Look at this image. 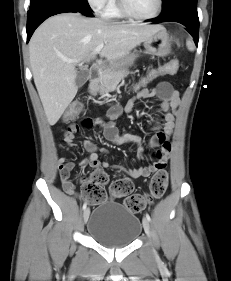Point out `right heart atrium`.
<instances>
[{"instance_id": "obj_1", "label": "right heart atrium", "mask_w": 231, "mask_h": 281, "mask_svg": "<svg viewBox=\"0 0 231 281\" xmlns=\"http://www.w3.org/2000/svg\"><path fill=\"white\" fill-rule=\"evenodd\" d=\"M88 5L97 13H103L111 0H86Z\"/></svg>"}]
</instances>
